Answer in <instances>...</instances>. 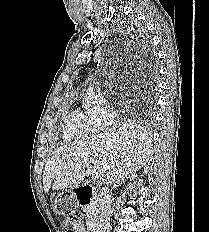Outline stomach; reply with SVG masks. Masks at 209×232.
<instances>
[{
  "instance_id": "stomach-1",
  "label": "stomach",
  "mask_w": 209,
  "mask_h": 232,
  "mask_svg": "<svg viewBox=\"0 0 209 232\" xmlns=\"http://www.w3.org/2000/svg\"><path fill=\"white\" fill-rule=\"evenodd\" d=\"M56 211L58 214H61V218H64V221H79V216H76L77 209L75 206H78L77 198L75 194H57L55 198Z\"/></svg>"
}]
</instances>
